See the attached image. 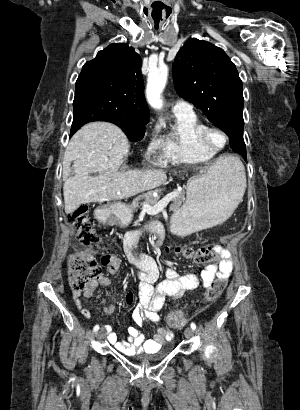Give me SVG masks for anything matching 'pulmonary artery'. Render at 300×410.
I'll return each instance as SVG.
<instances>
[{
	"instance_id": "pulmonary-artery-1",
	"label": "pulmonary artery",
	"mask_w": 300,
	"mask_h": 410,
	"mask_svg": "<svg viewBox=\"0 0 300 410\" xmlns=\"http://www.w3.org/2000/svg\"><path fill=\"white\" fill-rule=\"evenodd\" d=\"M173 111L189 112L192 111V106L186 101L176 100L173 106Z\"/></svg>"
}]
</instances>
